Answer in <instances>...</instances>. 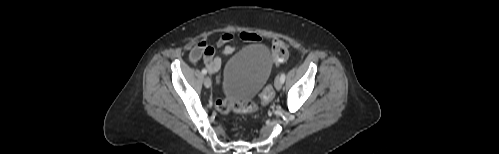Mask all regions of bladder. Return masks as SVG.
Wrapping results in <instances>:
<instances>
[{"label": "bladder", "mask_w": 499, "mask_h": 154, "mask_svg": "<svg viewBox=\"0 0 499 154\" xmlns=\"http://www.w3.org/2000/svg\"><path fill=\"white\" fill-rule=\"evenodd\" d=\"M273 62L264 44L247 46L226 62L220 89L226 100H251L267 83Z\"/></svg>", "instance_id": "bladder-1"}]
</instances>
